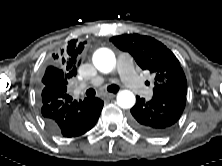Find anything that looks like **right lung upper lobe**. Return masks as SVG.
I'll return each instance as SVG.
<instances>
[{
	"mask_svg": "<svg viewBox=\"0 0 222 166\" xmlns=\"http://www.w3.org/2000/svg\"><path fill=\"white\" fill-rule=\"evenodd\" d=\"M85 42L70 40L52 55V65L48 66L42 78L43 86L58 88L66 93L68 80L77 74L80 54Z\"/></svg>",
	"mask_w": 222,
	"mask_h": 166,
	"instance_id": "cb5924a9",
	"label": "right lung upper lobe"
}]
</instances>
